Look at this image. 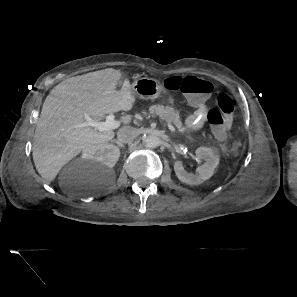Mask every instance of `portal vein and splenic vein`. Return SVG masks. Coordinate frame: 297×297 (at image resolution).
I'll return each mask as SVG.
<instances>
[{
    "label": "portal vein and splenic vein",
    "mask_w": 297,
    "mask_h": 297,
    "mask_svg": "<svg viewBox=\"0 0 297 297\" xmlns=\"http://www.w3.org/2000/svg\"><path fill=\"white\" fill-rule=\"evenodd\" d=\"M84 117L86 119V123L83 126H91L97 129L99 132L106 130H113L120 126V121L115 120V116L113 114H109L106 117L105 122H99L97 120H93L87 113H84ZM167 127L172 132L176 133V129L170 124L167 123Z\"/></svg>",
    "instance_id": "1"
}]
</instances>
